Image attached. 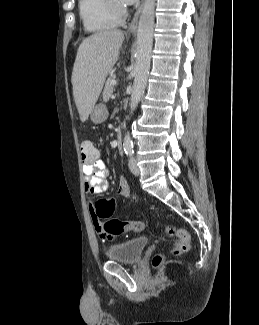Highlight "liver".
I'll return each mask as SVG.
<instances>
[{
    "mask_svg": "<svg viewBox=\"0 0 259 325\" xmlns=\"http://www.w3.org/2000/svg\"><path fill=\"white\" fill-rule=\"evenodd\" d=\"M123 41V31L111 29L94 33L80 44L71 81L81 122L88 119L97 102Z\"/></svg>",
    "mask_w": 259,
    "mask_h": 325,
    "instance_id": "6515ba94",
    "label": "liver"
}]
</instances>
